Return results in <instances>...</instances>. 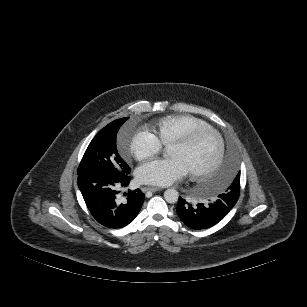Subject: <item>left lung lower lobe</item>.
<instances>
[{
	"mask_svg": "<svg viewBox=\"0 0 307 307\" xmlns=\"http://www.w3.org/2000/svg\"><path fill=\"white\" fill-rule=\"evenodd\" d=\"M236 203L220 194L214 203L192 205L180 197L177 205L179 218L191 229H207L221 221Z\"/></svg>",
	"mask_w": 307,
	"mask_h": 307,
	"instance_id": "obj_1",
	"label": "left lung lower lobe"
}]
</instances>
